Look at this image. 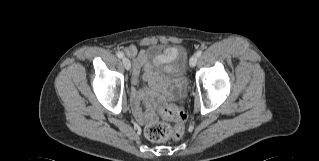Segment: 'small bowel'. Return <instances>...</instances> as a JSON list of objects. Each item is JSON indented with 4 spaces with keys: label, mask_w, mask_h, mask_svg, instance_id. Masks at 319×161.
<instances>
[{
    "label": "small bowel",
    "mask_w": 319,
    "mask_h": 161,
    "mask_svg": "<svg viewBox=\"0 0 319 161\" xmlns=\"http://www.w3.org/2000/svg\"><path fill=\"white\" fill-rule=\"evenodd\" d=\"M124 52L129 58L133 59L134 67H133V73H132V83L134 85H138L141 82V79L143 77L142 64L143 62H145V54L143 51L137 53V48L134 45H130L126 47L124 49ZM144 78L149 82L152 81V76L149 73H146L144 75ZM158 92H159V89L155 86L137 89L132 92V98L134 100V104H133L134 113L142 121L147 122L153 119V109L155 106V102H151L148 105L147 112H143L140 105L138 104L139 101L145 98L152 97L156 95ZM162 93L163 95L160 96L157 100L163 99L166 96H173V91L171 89H164L162 90Z\"/></svg>",
    "instance_id": "1"
}]
</instances>
